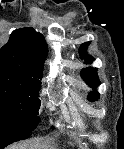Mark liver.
Wrapping results in <instances>:
<instances>
[{
	"instance_id": "obj_1",
	"label": "liver",
	"mask_w": 124,
	"mask_h": 149,
	"mask_svg": "<svg viewBox=\"0 0 124 149\" xmlns=\"http://www.w3.org/2000/svg\"><path fill=\"white\" fill-rule=\"evenodd\" d=\"M10 149H43L39 142H28L20 145L11 146Z\"/></svg>"
}]
</instances>
